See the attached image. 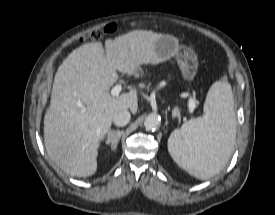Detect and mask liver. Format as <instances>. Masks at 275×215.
I'll use <instances>...</instances> for the list:
<instances>
[{
	"instance_id": "1",
	"label": "liver",
	"mask_w": 275,
	"mask_h": 215,
	"mask_svg": "<svg viewBox=\"0 0 275 215\" xmlns=\"http://www.w3.org/2000/svg\"><path fill=\"white\" fill-rule=\"evenodd\" d=\"M162 34L134 30L115 40L85 43L73 50L56 72L50 106L44 117L49 158L65 173L91 176L97 169L100 142L110 133L116 113L138 109L135 88L114 97L118 73L143 75L141 65L162 62L155 43Z\"/></svg>"
}]
</instances>
